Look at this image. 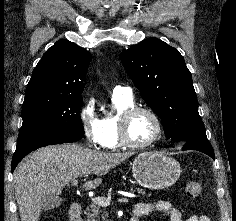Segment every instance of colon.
I'll list each match as a JSON object with an SVG mask.
<instances>
[{"mask_svg":"<svg viewBox=\"0 0 236 221\" xmlns=\"http://www.w3.org/2000/svg\"><path fill=\"white\" fill-rule=\"evenodd\" d=\"M185 193L188 198H198L203 193L202 185L197 181H190L185 186Z\"/></svg>","mask_w":236,"mask_h":221,"instance_id":"5ec220e1","label":"colon"}]
</instances>
